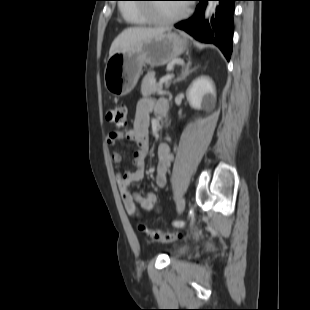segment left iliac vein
Returning <instances> with one entry per match:
<instances>
[{
    "label": "left iliac vein",
    "mask_w": 310,
    "mask_h": 310,
    "mask_svg": "<svg viewBox=\"0 0 310 310\" xmlns=\"http://www.w3.org/2000/svg\"><path fill=\"white\" fill-rule=\"evenodd\" d=\"M185 209V199L183 197L179 198L177 202V210L179 213L183 212Z\"/></svg>",
    "instance_id": "1"
}]
</instances>
